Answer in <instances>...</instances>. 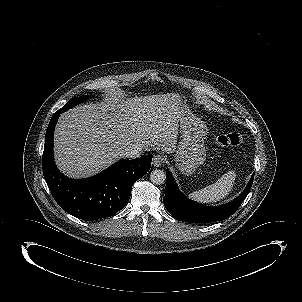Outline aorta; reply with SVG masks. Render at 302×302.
<instances>
[{"label": "aorta", "instance_id": "obj_1", "mask_svg": "<svg viewBox=\"0 0 302 302\" xmlns=\"http://www.w3.org/2000/svg\"><path fill=\"white\" fill-rule=\"evenodd\" d=\"M150 180L155 185H161L166 181V174L163 170H153L150 174Z\"/></svg>", "mask_w": 302, "mask_h": 302}]
</instances>
